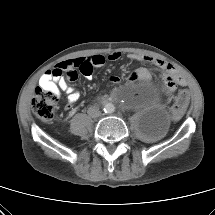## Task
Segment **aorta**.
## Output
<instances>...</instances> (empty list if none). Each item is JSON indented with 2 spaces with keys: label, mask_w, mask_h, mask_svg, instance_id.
Returning a JSON list of instances; mask_svg holds the SVG:
<instances>
[{
  "label": "aorta",
  "mask_w": 215,
  "mask_h": 215,
  "mask_svg": "<svg viewBox=\"0 0 215 215\" xmlns=\"http://www.w3.org/2000/svg\"><path fill=\"white\" fill-rule=\"evenodd\" d=\"M115 111V106L114 104L112 103H107L105 106H104V112L105 113H113Z\"/></svg>",
  "instance_id": "obj_1"
}]
</instances>
